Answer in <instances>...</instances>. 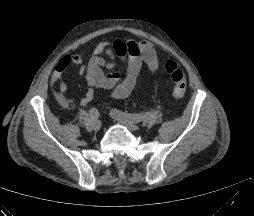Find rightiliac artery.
<instances>
[{"label": "right iliac artery", "instance_id": "right-iliac-artery-1", "mask_svg": "<svg viewBox=\"0 0 254 216\" xmlns=\"http://www.w3.org/2000/svg\"><path fill=\"white\" fill-rule=\"evenodd\" d=\"M89 114L92 119L98 118L100 115L99 111L96 108H91Z\"/></svg>", "mask_w": 254, "mask_h": 216}]
</instances>
